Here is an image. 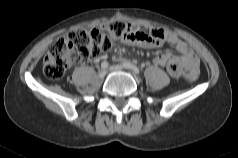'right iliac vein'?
<instances>
[{
  "label": "right iliac vein",
  "instance_id": "1",
  "mask_svg": "<svg viewBox=\"0 0 238 158\" xmlns=\"http://www.w3.org/2000/svg\"><path fill=\"white\" fill-rule=\"evenodd\" d=\"M106 70H101L100 72H99V77L102 79V78H104L105 77V75H106Z\"/></svg>",
  "mask_w": 238,
  "mask_h": 158
}]
</instances>
